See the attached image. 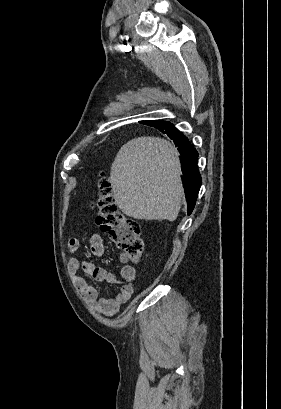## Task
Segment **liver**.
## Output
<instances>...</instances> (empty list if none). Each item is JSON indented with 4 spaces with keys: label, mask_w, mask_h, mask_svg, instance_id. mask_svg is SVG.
<instances>
[{
    "label": "liver",
    "mask_w": 281,
    "mask_h": 409,
    "mask_svg": "<svg viewBox=\"0 0 281 409\" xmlns=\"http://www.w3.org/2000/svg\"><path fill=\"white\" fill-rule=\"evenodd\" d=\"M116 205L133 219L175 221L184 188L178 152L159 136H138L121 146L111 166Z\"/></svg>",
    "instance_id": "obj_1"
}]
</instances>
